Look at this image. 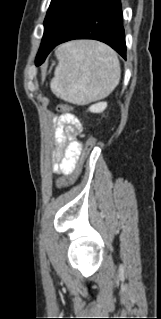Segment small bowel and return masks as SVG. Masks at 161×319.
I'll return each mask as SVG.
<instances>
[{"label": "small bowel", "mask_w": 161, "mask_h": 319, "mask_svg": "<svg viewBox=\"0 0 161 319\" xmlns=\"http://www.w3.org/2000/svg\"><path fill=\"white\" fill-rule=\"evenodd\" d=\"M55 141L58 146L54 154L56 163L53 172L69 175L73 172L79 158L82 142L75 137L82 135V125L79 119L71 113H59L54 117Z\"/></svg>", "instance_id": "small-bowel-1"}]
</instances>
